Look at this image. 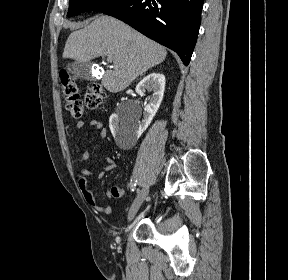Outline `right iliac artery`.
Masks as SVG:
<instances>
[{"label":"right iliac artery","instance_id":"obj_1","mask_svg":"<svg viewBox=\"0 0 288 280\" xmlns=\"http://www.w3.org/2000/svg\"><path fill=\"white\" fill-rule=\"evenodd\" d=\"M136 183H137V180H135V179L131 180V182H130L131 191H135L136 185H137Z\"/></svg>","mask_w":288,"mask_h":280}]
</instances>
